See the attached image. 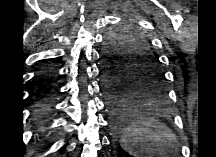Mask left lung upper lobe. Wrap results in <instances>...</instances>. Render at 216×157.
<instances>
[{
  "label": "left lung upper lobe",
  "mask_w": 216,
  "mask_h": 157,
  "mask_svg": "<svg viewBox=\"0 0 216 157\" xmlns=\"http://www.w3.org/2000/svg\"><path fill=\"white\" fill-rule=\"evenodd\" d=\"M103 53L110 76L134 96L165 94V76L147 37L130 24L110 31Z\"/></svg>",
  "instance_id": "5c2ea615"
}]
</instances>
